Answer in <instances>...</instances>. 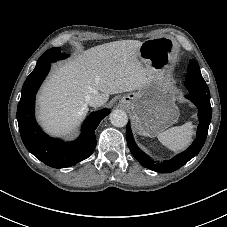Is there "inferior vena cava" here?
<instances>
[{
    "label": "inferior vena cava",
    "instance_id": "602c4592",
    "mask_svg": "<svg viewBox=\"0 0 227 227\" xmlns=\"http://www.w3.org/2000/svg\"><path fill=\"white\" fill-rule=\"evenodd\" d=\"M86 102L92 107H99L105 103V99L100 94H92L87 97Z\"/></svg>",
    "mask_w": 227,
    "mask_h": 227
}]
</instances>
